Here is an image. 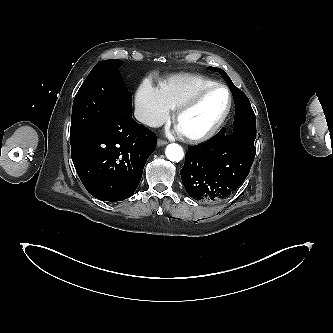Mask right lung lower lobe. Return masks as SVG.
I'll use <instances>...</instances> for the list:
<instances>
[{"label": "right lung lower lobe", "mask_w": 333, "mask_h": 333, "mask_svg": "<svg viewBox=\"0 0 333 333\" xmlns=\"http://www.w3.org/2000/svg\"><path fill=\"white\" fill-rule=\"evenodd\" d=\"M123 98L111 116L83 139L71 143L76 172L87 191L104 201H122L135 192L156 138L131 115Z\"/></svg>", "instance_id": "right-lung-lower-lobe-1"}]
</instances>
